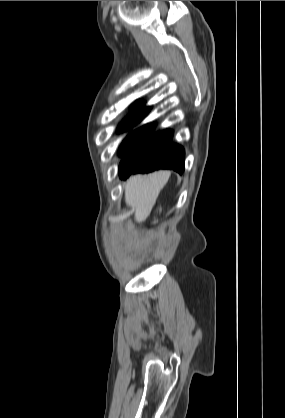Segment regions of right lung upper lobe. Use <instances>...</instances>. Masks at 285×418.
I'll return each instance as SVG.
<instances>
[{"label": "right lung upper lobe", "instance_id": "obj_1", "mask_svg": "<svg viewBox=\"0 0 285 418\" xmlns=\"http://www.w3.org/2000/svg\"><path fill=\"white\" fill-rule=\"evenodd\" d=\"M136 103H137L138 105H143V104H144V102H143V101H136Z\"/></svg>", "mask_w": 285, "mask_h": 418}]
</instances>
